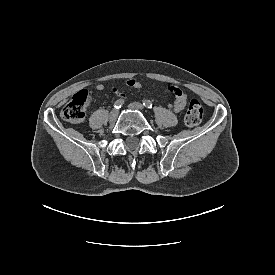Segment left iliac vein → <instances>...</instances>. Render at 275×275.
Segmentation results:
<instances>
[{
	"instance_id": "1",
	"label": "left iliac vein",
	"mask_w": 275,
	"mask_h": 275,
	"mask_svg": "<svg viewBox=\"0 0 275 275\" xmlns=\"http://www.w3.org/2000/svg\"><path fill=\"white\" fill-rule=\"evenodd\" d=\"M130 109L143 111V105L139 102H133L128 105Z\"/></svg>"
}]
</instances>
